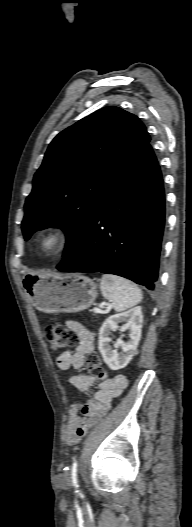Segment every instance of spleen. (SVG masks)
<instances>
[{"label": "spleen", "mask_w": 192, "mask_h": 527, "mask_svg": "<svg viewBox=\"0 0 192 527\" xmlns=\"http://www.w3.org/2000/svg\"><path fill=\"white\" fill-rule=\"evenodd\" d=\"M100 289L103 297L112 302L117 312L127 310L142 300V291L137 285L116 275H103Z\"/></svg>", "instance_id": "1"}]
</instances>
